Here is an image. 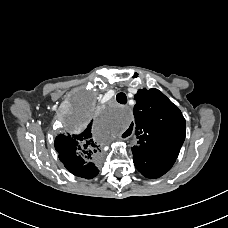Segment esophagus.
Returning <instances> with one entry per match:
<instances>
[{
	"label": "esophagus",
	"instance_id": "1",
	"mask_svg": "<svg viewBox=\"0 0 228 228\" xmlns=\"http://www.w3.org/2000/svg\"><path fill=\"white\" fill-rule=\"evenodd\" d=\"M129 137V133L127 131H123L119 135V139L126 140Z\"/></svg>",
	"mask_w": 228,
	"mask_h": 228
}]
</instances>
